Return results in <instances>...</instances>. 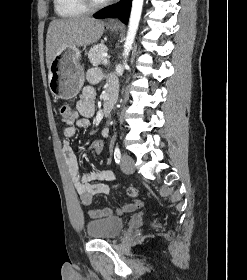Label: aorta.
<instances>
[{
	"instance_id": "obj_1",
	"label": "aorta",
	"mask_w": 247,
	"mask_h": 280,
	"mask_svg": "<svg viewBox=\"0 0 247 280\" xmlns=\"http://www.w3.org/2000/svg\"><path fill=\"white\" fill-rule=\"evenodd\" d=\"M143 1L144 0H133L132 1L129 26H128V31H127L126 42L124 45L125 58L129 55V52L132 48V44L134 42V39H135V36L137 33V29L139 26V21H140L141 13H142Z\"/></svg>"
}]
</instances>
